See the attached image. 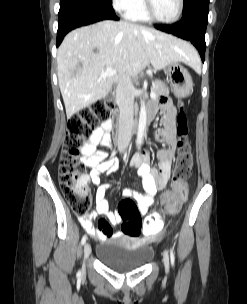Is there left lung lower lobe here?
<instances>
[{"mask_svg":"<svg viewBox=\"0 0 247 304\" xmlns=\"http://www.w3.org/2000/svg\"><path fill=\"white\" fill-rule=\"evenodd\" d=\"M208 8L209 0H199L182 15L180 22L177 24L172 26L155 25V28L185 40H190L199 51L202 61H204Z\"/></svg>","mask_w":247,"mask_h":304,"instance_id":"left-lung-lower-lobe-1","label":"left lung lower lobe"}]
</instances>
